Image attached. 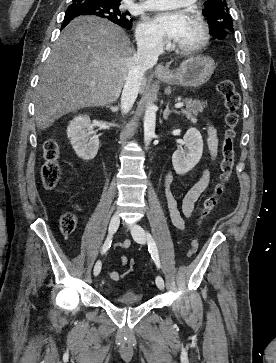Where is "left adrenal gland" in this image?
Wrapping results in <instances>:
<instances>
[{"label":"left adrenal gland","mask_w":276,"mask_h":363,"mask_svg":"<svg viewBox=\"0 0 276 363\" xmlns=\"http://www.w3.org/2000/svg\"><path fill=\"white\" fill-rule=\"evenodd\" d=\"M172 113H175V114H179V112L178 111H176V110H170L169 109V103L167 104V106H166V109L164 110V112H163V119L164 120H167L168 119V116L170 115V114H172Z\"/></svg>","instance_id":"1"}]
</instances>
